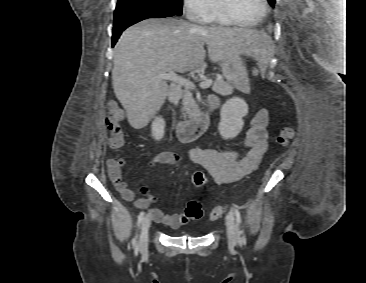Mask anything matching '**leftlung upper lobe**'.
<instances>
[{"label": "left lung upper lobe", "mask_w": 366, "mask_h": 283, "mask_svg": "<svg viewBox=\"0 0 366 283\" xmlns=\"http://www.w3.org/2000/svg\"><path fill=\"white\" fill-rule=\"evenodd\" d=\"M269 4L274 7V4H275V0H268Z\"/></svg>", "instance_id": "obj_1"}]
</instances>
